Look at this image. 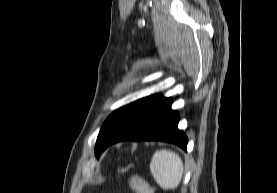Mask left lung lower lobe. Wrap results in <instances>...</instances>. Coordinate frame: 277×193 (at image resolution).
<instances>
[{"label": "left lung lower lobe", "instance_id": "0a47b994", "mask_svg": "<svg viewBox=\"0 0 277 193\" xmlns=\"http://www.w3.org/2000/svg\"><path fill=\"white\" fill-rule=\"evenodd\" d=\"M171 104V98L156 94L128 105L101 138V153L110 144L124 140H160L186 149L188 139L178 129L179 114Z\"/></svg>", "mask_w": 277, "mask_h": 193}]
</instances>
